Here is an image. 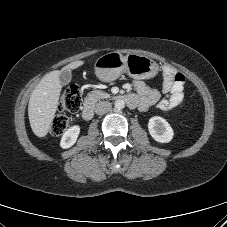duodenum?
Segmentation results:
<instances>
[{
	"label": "duodenum",
	"mask_w": 227,
	"mask_h": 227,
	"mask_svg": "<svg viewBox=\"0 0 227 227\" xmlns=\"http://www.w3.org/2000/svg\"><path fill=\"white\" fill-rule=\"evenodd\" d=\"M116 98L124 100L127 105L131 108H134L137 106V98L132 94H126V95H120ZM94 115V108L92 101H86L82 110V118L84 120H90L93 118Z\"/></svg>",
	"instance_id": "1"
}]
</instances>
